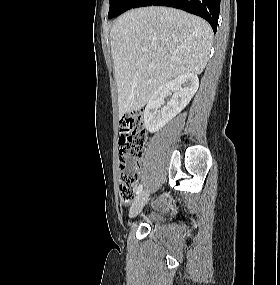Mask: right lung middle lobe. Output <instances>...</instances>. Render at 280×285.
<instances>
[{"label": "right lung middle lobe", "instance_id": "1", "mask_svg": "<svg viewBox=\"0 0 280 285\" xmlns=\"http://www.w3.org/2000/svg\"><path fill=\"white\" fill-rule=\"evenodd\" d=\"M137 0H109L110 8L108 18L116 17L131 9Z\"/></svg>", "mask_w": 280, "mask_h": 285}]
</instances>
